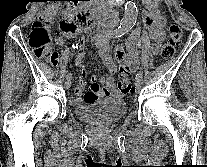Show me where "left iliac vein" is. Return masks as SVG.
Listing matches in <instances>:
<instances>
[{
	"mask_svg": "<svg viewBox=\"0 0 207 167\" xmlns=\"http://www.w3.org/2000/svg\"><path fill=\"white\" fill-rule=\"evenodd\" d=\"M142 84H143V82H142V78H141V77H136L135 87H136L137 89H140V88L142 87Z\"/></svg>",
	"mask_w": 207,
	"mask_h": 167,
	"instance_id": "left-iliac-vein-1",
	"label": "left iliac vein"
}]
</instances>
